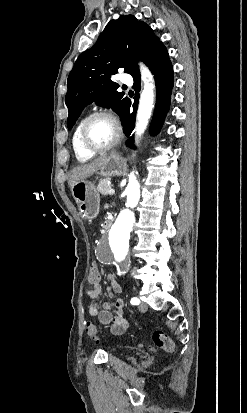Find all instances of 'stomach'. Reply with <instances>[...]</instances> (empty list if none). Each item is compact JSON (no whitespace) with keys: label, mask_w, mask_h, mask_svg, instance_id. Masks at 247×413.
I'll return each instance as SVG.
<instances>
[{"label":"stomach","mask_w":247,"mask_h":413,"mask_svg":"<svg viewBox=\"0 0 247 413\" xmlns=\"http://www.w3.org/2000/svg\"><path fill=\"white\" fill-rule=\"evenodd\" d=\"M122 156L109 154L102 166H99L100 176H119L122 172ZM72 194L78 204L83 219H95L100 209V194L91 180H80L71 186Z\"/></svg>","instance_id":"1"}]
</instances>
